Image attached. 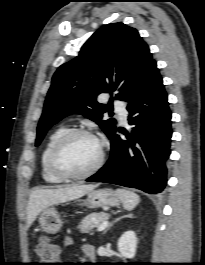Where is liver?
<instances>
[{
  "label": "liver",
  "instance_id": "6515ba94",
  "mask_svg": "<svg viewBox=\"0 0 205 265\" xmlns=\"http://www.w3.org/2000/svg\"><path fill=\"white\" fill-rule=\"evenodd\" d=\"M94 184L68 185L56 189H35L31 192L27 206V225L34 222L37 216L46 208L74 200L96 188Z\"/></svg>",
  "mask_w": 205,
  "mask_h": 265
}]
</instances>
